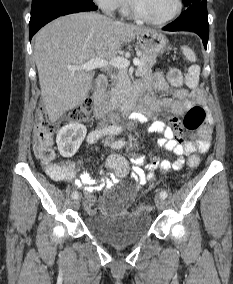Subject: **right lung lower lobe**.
<instances>
[{
	"label": "right lung lower lobe",
	"mask_w": 233,
	"mask_h": 284,
	"mask_svg": "<svg viewBox=\"0 0 233 284\" xmlns=\"http://www.w3.org/2000/svg\"><path fill=\"white\" fill-rule=\"evenodd\" d=\"M96 9L97 6L95 4H58L31 13L29 23L30 39L42 26L59 16L77 12L94 11Z\"/></svg>",
	"instance_id": "right-lung-lower-lobe-1"
}]
</instances>
